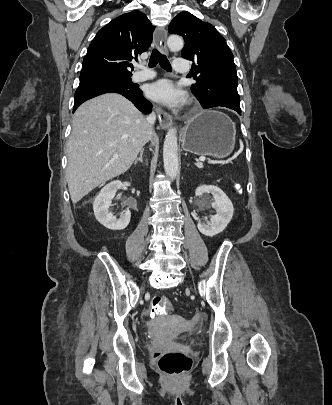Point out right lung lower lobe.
<instances>
[{
    "instance_id": "obj_1",
    "label": "right lung lower lobe",
    "mask_w": 332,
    "mask_h": 405,
    "mask_svg": "<svg viewBox=\"0 0 332 405\" xmlns=\"http://www.w3.org/2000/svg\"><path fill=\"white\" fill-rule=\"evenodd\" d=\"M115 92L128 98L142 112L150 113L152 104L143 97L138 88H126L114 84H94L78 88L75 92L73 112L86 100L103 93Z\"/></svg>"
}]
</instances>
